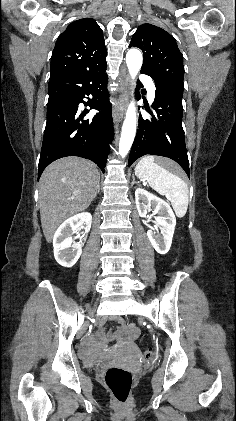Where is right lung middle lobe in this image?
Returning a JSON list of instances; mask_svg holds the SVG:
<instances>
[{
  "label": "right lung middle lobe",
  "mask_w": 236,
  "mask_h": 421,
  "mask_svg": "<svg viewBox=\"0 0 236 421\" xmlns=\"http://www.w3.org/2000/svg\"><path fill=\"white\" fill-rule=\"evenodd\" d=\"M48 92H49V99H53V98H56V97H58V96H60V95H62V93L61 92H58V91H56V90H54V89H51V88H48ZM48 99V100H49Z\"/></svg>",
  "instance_id": "obj_1"
}]
</instances>
